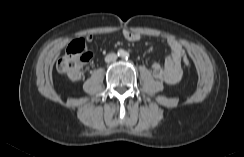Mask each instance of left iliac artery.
I'll return each mask as SVG.
<instances>
[{"mask_svg": "<svg viewBox=\"0 0 244 157\" xmlns=\"http://www.w3.org/2000/svg\"><path fill=\"white\" fill-rule=\"evenodd\" d=\"M123 56L127 60L129 58V53L125 52Z\"/></svg>", "mask_w": 244, "mask_h": 157, "instance_id": "left-iliac-artery-1", "label": "left iliac artery"}]
</instances>
